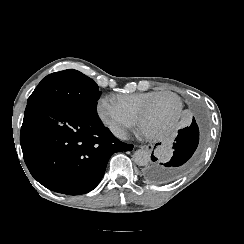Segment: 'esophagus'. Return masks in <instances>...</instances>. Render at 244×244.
Returning a JSON list of instances; mask_svg holds the SVG:
<instances>
[{
	"label": "esophagus",
	"mask_w": 244,
	"mask_h": 244,
	"mask_svg": "<svg viewBox=\"0 0 244 244\" xmlns=\"http://www.w3.org/2000/svg\"><path fill=\"white\" fill-rule=\"evenodd\" d=\"M141 149L147 150L148 152H152L154 145L153 144H148V145H142L140 146Z\"/></svg>",
	"instance_id": "34e87169"
}]
</instances>
